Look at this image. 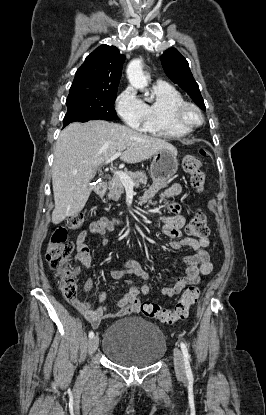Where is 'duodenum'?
I'll return each mask as SVG.
<instances>
[{"label": "duodenum", "instance_id": "1", "mask_svg": "<svg viewBox=\"0 0 266 415\" xmlns=\"http://www.w3.org/2000/svg\"><path fill=\"white\" fill-rule=\"evenodd\" d=\"M105 190H106V183L105 182H99L94 187L95 194H97L99 196L102 195L105 192ZM111 224L112 225H118V224H120V221L119 220H112Z\"/></svg>", "mask_w": 266, "mask_h": 415}]
</instances>
